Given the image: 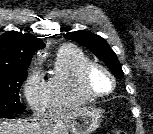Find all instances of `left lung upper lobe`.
Returning <instances> with one entry per match:
<instances>
[{"mask_svg":"<svg viewBox=\"0 0 153 134\" xmlns=\"http://www.w3.org/2000/svg\"><path fill=\"white\" fill-rule=\"evenodd\" d=\"M64 37L66 39L75 41L84 47H87L94 53V55L100 58L108 66V68L117 78L123 77L124 73L117 56L105 39L99 35L83 30L66 33L64 34Z\"/></svg>","mask_w":153,"mask_h":134,"instance_id":"1","label":"left lung upper lobe"}]
</instances>
